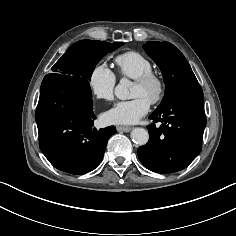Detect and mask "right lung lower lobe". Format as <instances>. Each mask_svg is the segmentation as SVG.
Instances as JSON below:
<instances>
[{"label": "right lung lower lobe", "instance_id": "obj_1", "mask_svg": "<svg viewBox=\"0 0 236 236\" xmlns=\"http://www.w3.org/2000/svg\"><path fill=\"white\" fill-rule=\"evenodd\" d=\"M91 91L62 77H45L35 113L39 147L58 170L85 174L101 162L114 126L97 130Z\"/></svg>", "mask_w": 236, "mask_h": 236}]
</instances>
